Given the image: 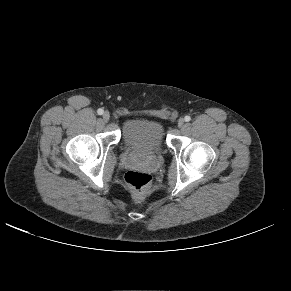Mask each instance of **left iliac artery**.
<instances>
[{
    "label": "left iliac artery",
    "mask_w": 291,
    "mask_h": 291,
    "mask_svg": "<svg viewBox=\"0 0 291 291\" xmlns=\"http://www.w3.org/2000/svg\"><path fill=\"white\" fill-rule=\"evenodd\" d=\"M184 119H185L186 122H189L191 120V117L187 115V116H185Z\"/></svg>",
    "instance_id": "obj_1"
}]
</instances>
